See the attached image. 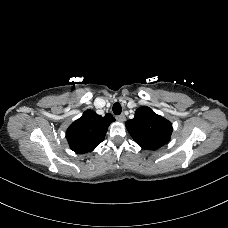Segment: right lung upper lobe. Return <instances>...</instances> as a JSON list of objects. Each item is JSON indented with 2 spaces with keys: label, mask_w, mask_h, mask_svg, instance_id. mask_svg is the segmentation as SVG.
Listing matches in <instances>:
<instances>
[{
  "label": "right lung upper lobe",
  "mask_w": 228,
  "mask_h": 228,
  "mask_svg": "<svg viewBox=\"0 0 228 228\" xmlns=\"http://www.w3.org/2000/svg\"><path fill=\"white\" fill-rule=\"evenodd\" d=\"M113 121L115 119L109 113L102 117L92 110H86L66 131L71 149L80 154L92 151L104 140Z\"/></svg>",
  "instance_id": "right-lung-upper-lobe-1"
}]
</instances>
